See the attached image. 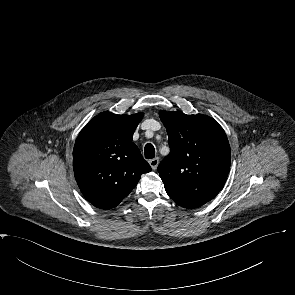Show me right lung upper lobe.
Masks as SVG:
<instances>
[{
  "label": "right lung upper lobe",
  "instance_id": "1",
  "mask_svg": "<svg viewBox=\"0 0 295 295\" xmlns=\"http://www.w3.org/2000/svg\"><path fill=\"white\" fill-rule=\"evenodd\" d=\"M143 113L102 112L80 132L73 150V169L85 198L95 207H116L152 169L132 142Z\"/></svg>",
  "mask_w": 295,
  "mask_h": 295
}]
</instances>
